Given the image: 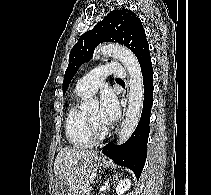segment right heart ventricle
I'll use <instances>...</instances> for the list:
<instances>
[{
  "label": "right heart ventricle",
  "mask_w": 211,
  "mask_h": 195,
  "mask_svg": "<svg viewBox=\"0 0 211 195\" xmlns=\"http://www.w3.org/2000/svg\"><path fill=\"white\" fill-rule=\"evenodd\" d=\"M78 98L85 95L76 93ZM65 129L69 141L78 148H90L94 144L87 124L86 114L73 103L66 115Z\"/></svg>",
  "instance_id": "right-heart-ventricle-1"
}]
</instances>
